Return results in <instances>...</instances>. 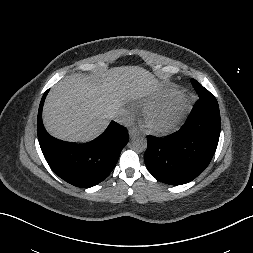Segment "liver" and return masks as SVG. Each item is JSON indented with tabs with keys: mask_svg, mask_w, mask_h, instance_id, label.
Wrapping results in <instances>:
<instances>
[{
	"mask_svg": "<svg viewBox=\"0 0 253 253\" xmlns=\"http://www.w3.org/2000/svg\"><path fill=\"white\" fill-rule=\"evenodd\" d=\"M159 82L139 66L111 68L102 80L72 74L55 85L46 98L43 123L52 136L85 142L100 135L123 102L158 90Z\"/></svg>",
	"mask_w": 253,
	"mask_h": 253,
	"instance_id": "obj_1",
	"label": "liver"
}]
</instances>
